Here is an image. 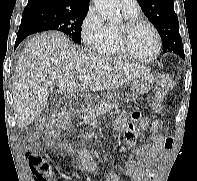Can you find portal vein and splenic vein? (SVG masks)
I'll return each mask as SVG.
<instances>
[{
    "instance_id": "portal-vein-and-splenic-vein-1",
    "label": "portal vein and splenic vein",
    "mask_w": 197,
    "mask_h": 181,
    "mask_svg": "<svg viewBox=\"0 0 197 181\" xmlns=\"http://www.w3.org/2000/svg\"><path fill=\"white\" fill-rule=\"evenodd\" d=\"M91 77L89 75H80L79 76V80L80 81H87L89 80Z\"/></svg>"
}]
</instances>
